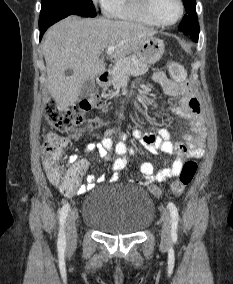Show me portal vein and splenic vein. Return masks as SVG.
<instances>
[{"label":"portal vein and splenic vein","mask_w":233,"mask_h":284,"mask_svg":"<svg viewBox=\"0 0 233 284\" xmlns=\"http://www.w3.org/2000/svg\"><path fill=\"white\" fill-rule=\"evenodd\" d=\"M114 49H115V46H108V48H107V54H108V55H111V54L113 53Z\"/></svg>","instance_id":"1"}]
</instances>
